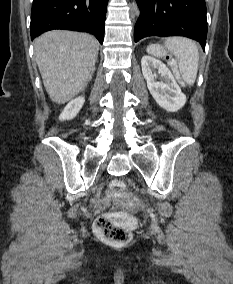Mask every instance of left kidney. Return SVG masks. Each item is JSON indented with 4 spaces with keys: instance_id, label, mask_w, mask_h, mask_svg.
<instances>
[{
    "instance_id": "obj_1",
    "label": "left kidney",
    "mask_w": 233,
    "mask_h": 284,
    "mask_svg": "<svg viewBox=\"0 0 233 284\" xmlns=\"http://www.w3.org/2000/svg\"><path fill=\"white\" fill-rule=\"evenodd\" d=\"M141 67L147 87L160 107L175 112L185 105L186 96L181 92L171 71L162 61L145 55L141 59Z\"/></svg>"
}]
</instances>
